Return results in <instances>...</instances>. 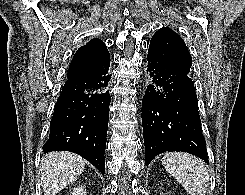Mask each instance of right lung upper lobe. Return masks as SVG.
<instances>
[{"instance_id": "obj_1", "label": "right lung upper lobe", "mask_w": 245, "mask_h": 195, "mask_svg": "<svg viewBox=\"0 0 245 195\" xmlns=\"http://www.w3.org/2000/svg\"><path fill=\"white\" fill-rule=\"evenodd\" d=\"M110 56L100 39H92L80 47L69 66L67 78L92 75L95 71L108 68Z\"/></svg>"}]
</instances>
